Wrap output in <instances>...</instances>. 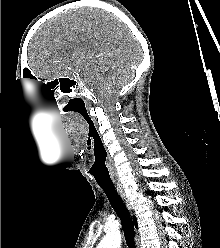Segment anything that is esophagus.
Segmentation results:
<instances>
[{"instance_id": "obj_1", "label": "esophagus", "mask_w": 220, "mask_h": 248, "mask_svg": "<svg viewBox=\"0 0 220 248\" xmlns=\"http://www.w3.org/2000/svg\"><path fill=\"white\" fill-rule=\"evenodd\" d=\"M116 189H117V192L119 193L120 197L122 198V200L125 202L127 208H128L129 210H131L130 201H129L128 197L126 196V194H125V192H124V189H123L122 185L117 183V184H116ZM137 248H141L138 241H137Z\"/></svg>"}]
</instances>
